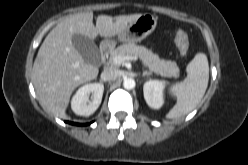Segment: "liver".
I'll return each instance as SVG.
<instances>
[{
  "mask_svg": "<svg viewBox=\"0 0 248 165\" xmlns=\"http://www.w3.org/2000/svg\"><path fill=\"white\" fill-rule=\"evenodd\" d=\"M142 14L111 17L100 15L93 24V13L69 15L58 23L43 41L33 65V84L40 105L61 118L72 92L95 79L99 69L86 63L72 43L74 34L90 39L112 37L125 30Z\"/></svg>",
  "mask_w": 248,
  "mask_h": 165,
  "instance_id": "liver-1",
  "label": "liver"
}]
</instances>
